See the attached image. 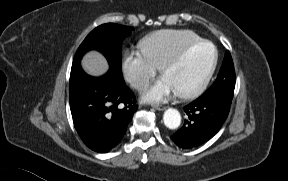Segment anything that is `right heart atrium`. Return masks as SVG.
Segmentation results:
<instances>
[{
  "instance_id": "right-heart-atrium-1",
  "label": "right heart atrium",
  "mask_w": 288,
  "mask_h": 181,
  "mask_svg": "<svg viewBox=\"0 0 288 181\" xmlns=\"http://www.w3.org/2000/svg\"><path fill=\"white\" fill-rule=\"evenodd\" d=\"M122 69L127 81L136 89H143L155 76L157 67L142 50L133 49L123 56Z\"/></svg>"
}]
</instances>
